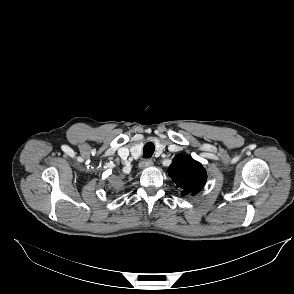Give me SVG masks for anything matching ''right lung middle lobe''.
Listing matches in <instances>:
<instances>
[{"instance_id":"dd1d6c3e","label":"right lung middle lobe","mask_w":294,"mask_h":294,"mask_svg":"<svg viewBox=\"0 0 294 294\" xmlns=\"http://www.w3.org/2000/svg\"><path fill=\"white\" fill-rule=\"evenodd\" d=\"M116 187H118V184H117V182H114L113 183V188H116Z\"/></svg>"}]
</instances>
